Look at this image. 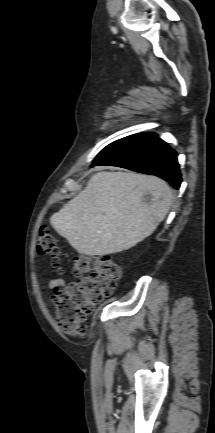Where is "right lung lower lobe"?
Masks as SVG:
<instances>
[{"mask_svg":"<svg viewBox=\"0 0 215 433\" xmlns=\"http://www.w3.org/2000/svg\"><path fill=\"white\" fill-rule=\"evenodd\" d=\"M96 165L123 167L159 176L175 189L182 182L177 153L155 133H141L125 148Z\"/></svg>","mask_w":215,"mask_h":433,"instance_id":"obj_1","label":"right lung lower lobe"}]
</instances>
